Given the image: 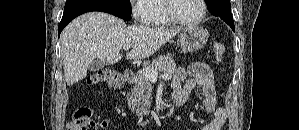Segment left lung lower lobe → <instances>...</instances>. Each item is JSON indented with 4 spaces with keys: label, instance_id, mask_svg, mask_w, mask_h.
Returning <instances> with one entry per match:
<instances>
[{
    "label": "left lung lower lobe",
    "instance_id": "left-lung-lower-lobe-1",
    "mask_svg": "<svg viewBox=\"0 0 299 130\" xmlns=\"http://www.w3.org/2000/svg\"><path fill=\"white\" fill-rule=\"evenodd\" d=\"M208 9L214 16L220 17L232 28L233 31H235L234 21L231 12L223 13L222 11L215 10L212 7H208Z\"/></svg>",
    "mask_w": 299,
    "mask_h": 130
}]
</instances>
